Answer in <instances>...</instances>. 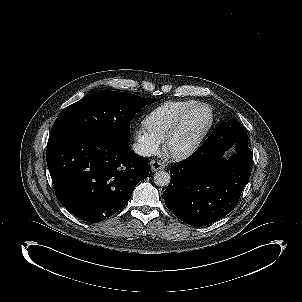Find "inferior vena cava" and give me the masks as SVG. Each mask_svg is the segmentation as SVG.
<instances>
[{"instance_id": "1", "label": "inferior vena cava", "mask_w": 302, "mask_h": 302, "mask_svg": "<svg viewBox=\"0 0 302 302\" xmlns=\"http://www.w3.org/2000/svg\"><path fill=\"white\" fill-rule=\"evenodd\" d=\"M132 149L136 154L141 156L150 157L152 155L151 148L142 143H134Z\"/></svg>"}]
</instances>
